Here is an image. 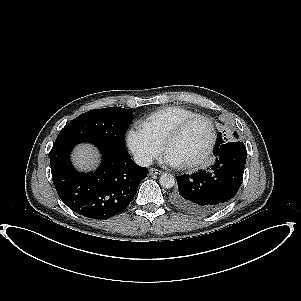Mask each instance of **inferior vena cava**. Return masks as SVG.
I'll return each instance as SVG.
<instances>
[{
	"mask_svg": "<svg viewBox=\"0 0 301 301\" xmlns=\"http://www.w3.org/2000/svg\"><path fill=\"white\" fill-rule=\"evenodd\" d=\"M152 158L148 155L144 154H136L134 155V162L141 167H149L152 165Z\"/></svg>",
	"mask_w": 301,
	"mask_h": 301,
	"instance_id": "1",
	"label": "inferior vena cava"
}]
</instances>
